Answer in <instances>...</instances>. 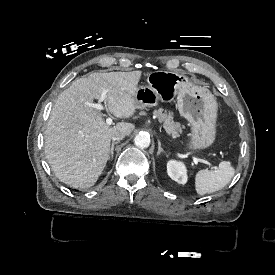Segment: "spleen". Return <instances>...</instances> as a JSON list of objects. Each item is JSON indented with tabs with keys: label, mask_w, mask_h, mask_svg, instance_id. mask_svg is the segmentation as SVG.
I'll return each instance as SVG.
<instances>
[{
	"label": "spleen",
	"mask_w": 275,
	"mask_h": 275,
	"mask_svg": "<svg viewBox=\"0 0 275 275\" xmlns=\"http://www.w3.org/2000/svg\"><path fill=\"white\" fill-rule=\"evenodd\" d=\"M234 173L235 167L230 161H220L215 169L197 171L194 176L196 193L204 195L221 190L230 182Z\"/></svg>",
	"instance_id": "1"
}]
</instances>
